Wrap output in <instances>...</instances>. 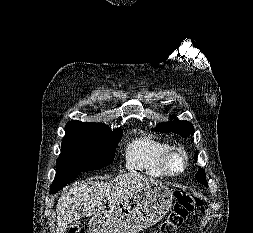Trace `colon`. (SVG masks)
<instances>
[{
	"mask_svg": "<svg viewBox=\"0 0 253 233\" xmlns=\"http://www.w3.org/2000/svg\"><path fill=\"white\" fill-rule=\"evenodd\" d=\"M202 205L203 199L201 197L183 191H176L173 209L154 233H179L186 217ZM68 233H85V230L81 225H74Z\"/></svg>",
	"mask_w": 253,
	"mask_h": 233,
	"instance_id": "colon-1",
	"label": "colon"
}]
</instances>
